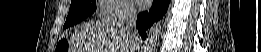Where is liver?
Listing matches in <instances>:
<instances>
[{"label": "liver", "mask_w": 261, "mask_h": 52, "mask_svg": "<svg viewBox=\"0 0 261 52\" xmlns=\"http://www.w3.org/2000/svg\"><path fill=\"white\" fill-rule=\"evenodd\" d=\"M78 52H133L132 38L117 24L115 18L106 17L83 25L76 31Z\"/></svg>", "instance_id": "obj_1"}]
</instances>
